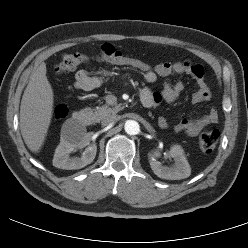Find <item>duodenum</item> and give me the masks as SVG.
<instances>
[{
  "instance_id": "obj_1",
  "label": "duodenum",
  "mask_w": 248,
  "mask_h": 248,
  "mask_svg": "<svg viewBox=\"0 0 248 248\" xmlns=\"http://www.w3.org/2000/svg\"><path fill=\"white\" fill-rule=\"evenodd\" d=\"M141 101L144 107H151V103L147 98H142ZM72 122L78 126H88L92 123V117L87 112L76 111L72 117Z\"/></svg>"
}]
</instances>
